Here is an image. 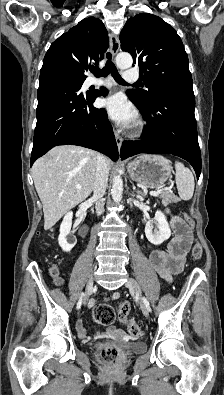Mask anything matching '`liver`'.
<instances>
[{
    "mask_svg": "<svg viewBox=\"0 0 224 395\" xmlns=\"http://www.w3.org/2000/svg\"><path fill=\"white\" fill-rule=\"evenodd\" d=\"M98 153L79 146L51 149L32 166V177L43 204L44 229L49 230L92 192ZM110 167L111 161L107 159ZM81 186V189H77Z\"/></svg>",
    "mask_w": 224,
    "mask_h": 395,
    "instance_id": "liver-1",
    "label": "liver"
}]
</instances>
